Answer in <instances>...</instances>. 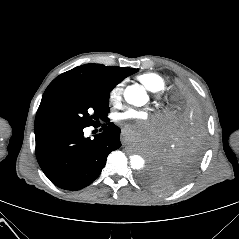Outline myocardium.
Segmentation results:
<instances>
[{
  "mask_svg": "<svg viewBox=\"0 0 239 239\" xmlns=\"http://www.w3.org/2000/svg\"><path fill=\"white\" fill-rule=\"evenodd\" d=\"M157 98H158V100H162V97H161V96H158Z\"/></svg>",
  "mask_w": 239,
  "mask_h": 239,
  "instance_id": "myocardium-1",
  "label": "myocardium"
}]
</instances>
